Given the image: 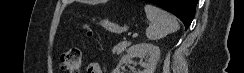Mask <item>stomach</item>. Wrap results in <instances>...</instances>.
<instances>
[{
	"mask_svg": "<svg viewBox=\"0 0 244 73\" xmlns=\"http://www.w3.org/2000/svg\"><path fill=\"white\" fill-rule=\"evenodd\" d=\"M100 24L107 30L113 33H123L126 32L129 27L127 25H119L116 22L110 21L108 19L101 20Z\"/></svg>",
	"mask_w": 244,
	"mask_h": 73,
	"instance_id": "1",
	"label": "stomach"
}]
</instances>
